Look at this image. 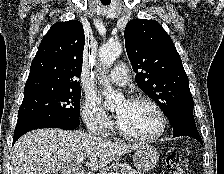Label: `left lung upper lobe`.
<instances>
[{"label": "left lung upper lobe", "mask_w": 224, "mask_h": 174, "mask_svg": "<svg viewBox=\"0 0 224 174\" xmlns=\"http://www.w3.org/2000/svg\"><path fill=\"white\" fill-rule=\"evenodd\" d=\"M124 38L136 83L159 104L170 124L183 113H193L188 77L162 26L153 20L135 19L127 24Z\"/></svg>", "instance_id": "1"}]
</instances>
